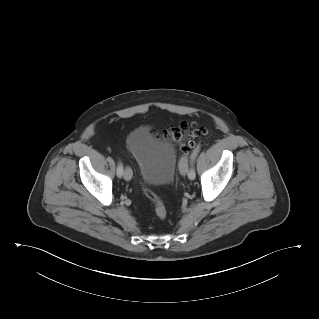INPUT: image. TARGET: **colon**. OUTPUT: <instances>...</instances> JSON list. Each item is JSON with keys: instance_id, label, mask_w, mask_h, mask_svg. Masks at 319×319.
I'll return each instance as SVG.
<instances>
[{"instance_id": "colon-1", "label": "colon", "mask_w": 319, "mask_h": 319, "mask_svg": "<svg viewBox=\"0 0 319 319\" xmlns=\"http://www.w3.org/2000/svg\"><path fill=\"white\" fill-rule=\"evenodd\" d=\"M206 133L207 131L205 128H199L193 124L182 123L179 126L168 129L166 136L176 142H180V149L182 153H187L193 146V141L191 139L205 135ZM143 191L153 203L156 216L159 219H165L168 212L162 198L146 186L143 187Z\"/></svg>"}]
</instances>
